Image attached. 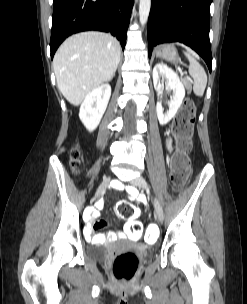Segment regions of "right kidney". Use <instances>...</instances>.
Listing matches in <instances>:
<instances>
[{"label": "right kidney", "mask_w": 247, "mask_h": 304, "mask_svg": "<svg viewBox=\"0 0 247 304\" xmlns=\"http://www.w3.org/2000/svg\"><path fill=\"white\" fill-rule=\"evenodd\" d=\"M111 96V86L102 84L93 89L80 106L79 118L88 131H93L99 125L106 111Z\"/></svg>", "instance_id": "right-kidney-1"}]
</instances>
